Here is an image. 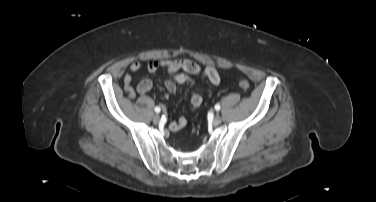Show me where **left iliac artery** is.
I'll return each mask as SVG.
<instances>
[{
	"label": "left iliac artery",
	"instance_id": "left-iliac-artery-1",
	"mask_svg": "<svg viewBox=\"0 0 376 202\" xmlns=\"http://www.w3.org/2000/svg\"><path fill=\"white\" fill-rule=\"evenodd\" d=\"M220 108H221V107H220V105H219V104H216V105H215V109H216L217 111H219V110H220Z\"/></svg>",
	"mask_w": 376,
	"mask_h": 202
}]
</instances>
